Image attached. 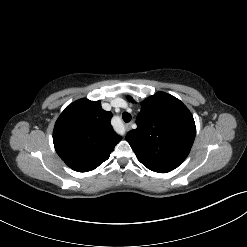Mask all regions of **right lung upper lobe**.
Listing matches in <instances>:
<instances>
[{
    "label": "right lung upper lobe",
    "instance_id": "cb5924a9",
    "mask_svg": "<svg viewBox=\"0 0 247 247\" xmlns=\"http://www.w3.org/2000/svg\"><path fill=\"white\" fill-rule=\"evenodd\" d=\"M112 113L102 109L100 101L86 98L71 103L59 116L53 131L57 154L77 172L94 170L114 150L121 137L110 120Z\"/></svg>",
    "mask_w": 247,
    "mask_h": 247
}]
</instances>
